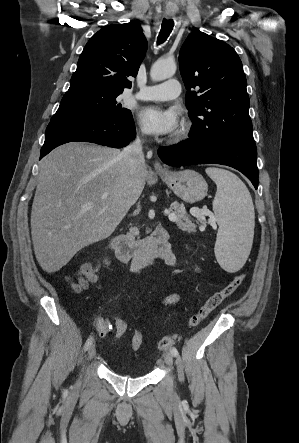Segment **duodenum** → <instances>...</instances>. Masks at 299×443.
Here are the masks:
<instances>
[{"label":"duodenum","instance_id":"410a0bca","mask_svg":"<svg viewBox=\"0 0 299 443\" xmlns=\"http://www.w3.org/2000/svg\"><path fill=\"white\" fill-rule=\"evenodd\" d=\"M168 239V232L163 227H158L149 237L139 241L116 235L110 240V248L123 262L147 266L169 251Z\"/></svg>","mask_w":299,"mask_h":443}]
</instances>
